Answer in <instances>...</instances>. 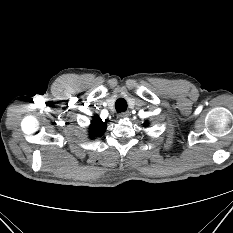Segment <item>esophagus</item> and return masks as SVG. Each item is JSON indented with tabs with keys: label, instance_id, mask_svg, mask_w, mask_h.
<instances>
[{
	"label": "esophagus",
	"instance_id": "1",
	"mask_svg": "<svg viewBox=\"0 0 233 233\" xmlns=\"http://www.w3.org/2000/svg\"><path fill=\"white\" fill-rule=\"evenodd\" d=\"M129 115H130L129 112H123V113L119 114V117L120 118H127V117H129Z\"/></svg>",
	"mask_w": 233,
	"mask_h": 233
}]
</instances>
